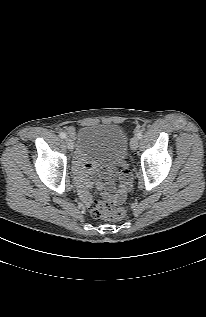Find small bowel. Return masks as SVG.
<instances>
[{"instance_id":"obj_1","label":"small bowel","mask_w":206,"mask_h":317,"mask_svg":"<svg viewBox=\"0 0 206 317\" xmlns=\"http://www.w3.org/2000/svg\"><path fill=\"white\" fill-rule=\"evenodd\" d=\"M70 135H74L72 128L68 129ZM95 168L93 163H85V157L83 153H78L74 162V171L76 175V182L79 191V195L83 203L88 206L92 200V196L89 193L93 183L90 180V176ZM99 187H102L101 183H98ZM130 186V173L128 170H124L121 176V184L117 191H115L112 184H108L107 190L110 195H113L117 200H122Z\"/></svg>"}]
</instances>
